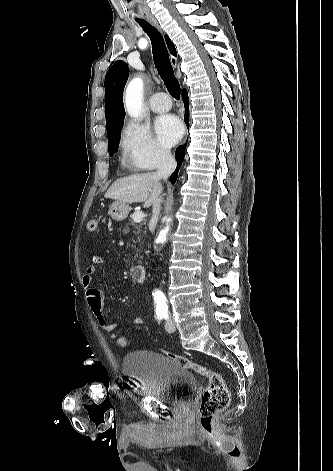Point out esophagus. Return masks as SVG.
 <instances>
[{
	"mask_svg": "<svg viewBox=\"0 0 333 471\" xmlns=\"http://www.w3.org/2000/svg\"><path fill=\"white\" fill-rule=\"evenodd\" d=\"M148 19H149L156 27H158V23H157L156 19H155L152 15H148ZM170 59H171L172 66H173L174 68H176V67H177V59H176L173 55L170 56Z\"/></svg>",
	"mask_w": 333,
	"mask_h": 471,
	"instance_id": "34e87169",
	"label": "esophagus"
}]
</instances>
